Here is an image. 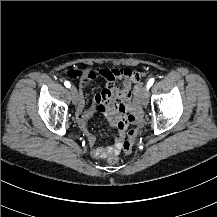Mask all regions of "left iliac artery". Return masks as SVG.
<instances>
[{"label": "left iliac artery", "instance_id": "left-iliac-artery-1", "mask_svg": "<svg viewBox=\"0 0 217 217\" xmlns=\"http://www.w3.org/2000/svg\"><path fill=\"white\" fill-rule=\"evenodd\" d=\"M154 83V78L149 79V81L147 82V89H149Z\"/></svg>", "mask_w": 217, "mask_h": 217}]
</instances>
